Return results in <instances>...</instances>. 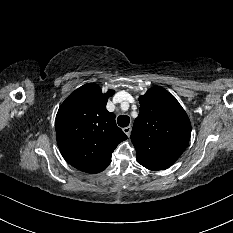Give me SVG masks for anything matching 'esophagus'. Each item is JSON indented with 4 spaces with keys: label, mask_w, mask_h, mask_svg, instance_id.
Masks as SVG:
<instances>
[{
    "label": "esophagus",
    "mask_w": 233,
    "mask_h": 233,
    "mask_svg": "<svg viewBox=\"0 0 233 233\" xmlns=\"http://www.w3.org/2000/svg\"><path fill=\"white\" fill-rule=\"evenodd\" d=\"M124 133L129 137L131 134V126L123 128Z\"/></svg>",
    "instance_id": "34e87169"
}]
</instances>
